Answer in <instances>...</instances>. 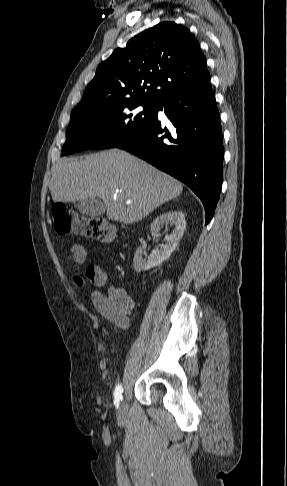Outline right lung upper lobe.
Masks as SVG:
<instances>
[{"mask_svg": "<svg viewBox=\"0 0 287 486\" xmlns=\"http://www.w3.org/2000/svg\"><path fill=\"white\" fill-rule=\"evenodd\" d=\"M210 74L198 41L174 22H162L117 48L97 67L80 103L73 109L117 100L161 102L204 86Z\"/></svg>", "mask_w": 287, "mask_h": 486, "instance_id": "right-lung-upper-lobe-1", "label": "right lung upper lobe"}]
</instances>
